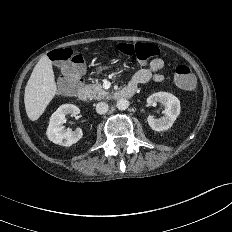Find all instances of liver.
<instances>
[{
  "mask_svg": "<svg viewBox=\"0 0 232 232\" xmlns=\"http://www.w3.org/2000/svg\"><path fill=\"white\" fill-rule=\"evenodd\" d=\"M57 92L52 62L43 56L35 65L25 87L24 103L30 120H37Z\"/></svg>",
  "mask_w": 232,
  "mask_h": 232,
  "instance_id": "1",
  "label": "liver"
}]
</instances>
